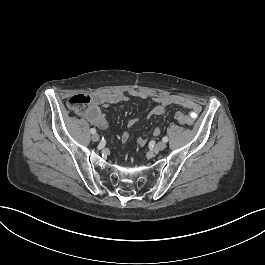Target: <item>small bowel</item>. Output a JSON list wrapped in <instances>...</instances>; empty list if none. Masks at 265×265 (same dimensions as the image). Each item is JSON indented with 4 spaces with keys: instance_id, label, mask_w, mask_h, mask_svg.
I'll return each mask as SVG.
<instances>
[{
    "instance_id": "1",
    "label": "small bowel",
    "mask_w": 265,
    "mask_h": 265,
    "mask_svg": "<svg viewBox=\"0 0 265 265\" xmlns=\"http://www.w3.org/2000/svg\"><path fill=\"white\" fill-rule=\"evenodd\" d=\"M131 97L147 99L149 95L144 92H133L130 95L122 91L115 92H99L96 93L93 97V102L85 108L79 109L77 113L92 125L97 127H104L106 125V116L103 112V108H107L111 105L120 104L123 102H127L131 99ZM154 103H156L155 107L151 111L152 115H162L166 112L167 108L172 105H177L184 107L188 110L186 113L189 117V122L187 125H192L197 119L199 113L201 112V105L184 96L180 95H156L151 98ZM135 124L134 120H130L128 122V126L131 127ZM160 129L155 128L153 130V135L158 136L160 134ZM130 138V133L128 131H123L121 134V140L126 143ZM146 138L142 137L137 140L136 146L138 148L143 147L145 145Z\"/></svg>"
}]
</instances>
